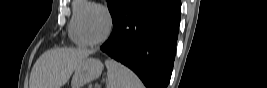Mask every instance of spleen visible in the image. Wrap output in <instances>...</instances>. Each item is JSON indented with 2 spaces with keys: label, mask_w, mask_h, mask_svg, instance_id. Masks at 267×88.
Segmentation results:
<instances>
[{
  "label": "spleen",
  "mask_w": 267,
  "mask_h": 88,
  "mask_svg": "<svg viewBox=\"0 0 267 88\" xmlns=\"http://www.w3.org/2000/svg\"><path fill=\"white\" fill-rule=\"evenodd\" d=\"M107 68V88H144L139 77L129 68L113 59L105 61Z\"/></svg>",
  "instance_id": "3e777b00"
}]
</instances>
